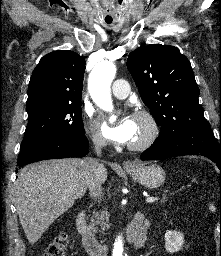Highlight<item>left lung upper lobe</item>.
Listing matches in <instances>:
<instances>
[{
	"instance_id": "obj_1",
	"label": "left lung upper lobe",
	"mask_w": 221,
	"mask_h": 256,
	"mask_svg": "<svg viewBox=\"0 0 221 256\" xmlns=\"http://www.w3.org/2000/svg\"><path fill=\"white\" fill-rule=\"evenodd\" d=\"M127 67L160 134L176 127L198 128L209 123L199 104V88L189 60L170 45H147L131 52Z\"/></svg>"
}]
</instances>
